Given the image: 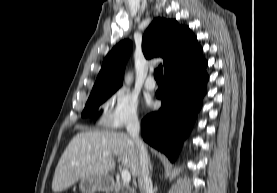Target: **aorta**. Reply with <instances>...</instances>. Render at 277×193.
<instances>
[{
	"label": "aorta",
	"instance_id": "762f6f07",
	"mask_svg": "<svg viewBox=\"0 0 277 193\" xmlns=\"http://www.w3.org/2000/svg\"><path fill=\"white\" fill-rule=\"evenodd\" d=\"M132 82V75L131 74H127L126 77H125V83L126 85H130Z\"/></svg>",
	"mask_w": 277,
	"mask_h": 193
}]
</instances>
